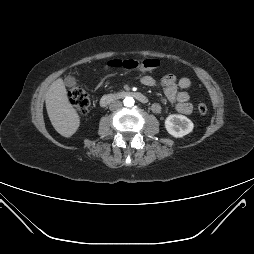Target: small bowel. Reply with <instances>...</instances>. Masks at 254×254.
Segmentation results:
<instances>
[{
    "instance_id": "c3829d8e",
    "label": "small bowel",
    "mask_w": 254,
    "mask_h": 254,
    "mask_svg": "<svg viewBox=\"0 0 254 254\" xmlns=\"http://www.w3.org/2000/svg\"><path fill=\"white\" fill-rule=\"evenodd\" d=\"M141 83L147 87H154L159 84L164 91L165 97L175 110L181 114H190L193 111V104L190 102L189 88L191 81L187 77L177 78L173 74L163 76L158 82L150 75H144ZM151 109L155 113L161 111L159 103H153Z\"/></svg>"
}]
</instances>
